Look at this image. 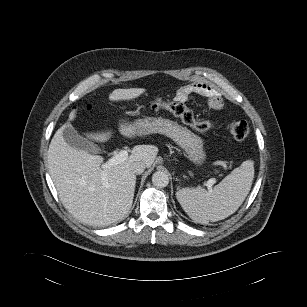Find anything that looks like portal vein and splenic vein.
<instances>
[{
	"instance_id": "obj_1",
	"label": "portal vein and splenic vein",
	"mask_w": 307,
	"mask_h": 307,
	"mask_svg": "<svg viewBox=\"0 0 307 307\" xmlns=\"http://www.w3.org/2000/svg\"><path fill=\"white\" fill-rule=\"evenodd\" d=\"M127 158H128V152L126 150H120L118 153H116L114 156L108 159L106 163L103 164V168L106 170L113 165L120 164L121 162L125 161ZM103 176L105 179L107 176V173L104 172ZM214 183H215L214 179L208 180L207 187L210 189Z\"/></svg>"
}]
</instances>
